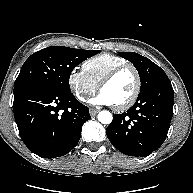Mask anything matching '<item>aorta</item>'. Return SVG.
Masks as SVG:
<instances>
[{
  "instance_id": "1",
  "label": "aorta",
  "mask_w": 193,
  "mask_h": 193,
  "mask_svg": "<svg viewBox=\"0 0 193 193\" xmlns=\"http://www.w3.org/2000/svg\"><path fill=\"white\" fill-rule=\"evenodd\" d=\"M112 119V114L107 110H103L98 114V120L102 124H110L112 122Z\"/></svg>"
}]
</instances>
